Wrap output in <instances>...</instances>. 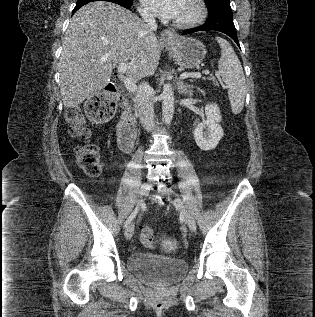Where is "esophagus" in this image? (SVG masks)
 <instances>
[{"label": "esophagus", "mask_w": 315, "mask_h": 317, "mask_svg": "<svg viewBox=\"0 0 315 317\" xmlns=\"http://www.w3.org/2000/svg\"><path fill=\"white\" fill-rule=\"evenodd\" d=\"M177 36L176 32L173 29H165L161 32V39L164 42H169L175 39Z\"/></svg>", "instance_id": "34e87169"}]
</instances>
